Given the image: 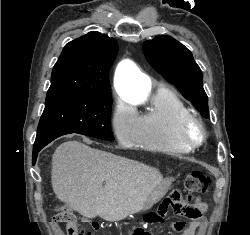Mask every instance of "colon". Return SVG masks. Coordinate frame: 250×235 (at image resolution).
Here are the masks:
<instances>
[{"label": "colon", "mask_w": 250, "mask_h": 235, "mask_svg": "<svg viewBox=\"0 0 250 235\" xmlns=\"http://www.w3.org/2000/svg\"><path fill=\"white\" fill-rule=\"evenodd\" d=\"M210 184V177L200 170L190 172L184 180V189L186 192V199L190 203L193 201L196 194L204 193L207 191ZM183 204L174 203L171 201V206L174 210L181 209ZM190 206V205H187ZM165 215V214H164ZM160 214L155 215V221L161 220L164 216ZM188 217V218H193ZM55 220L65 225L66 235H84V227L76 220L75 215L68 207H59L55 215ZM138 235H151L150 232H143L140 229L137 231ZM87 235H93L92 232H87Z\"/></svg>", "instance_id": "5ec220e1"}]
</instances>
